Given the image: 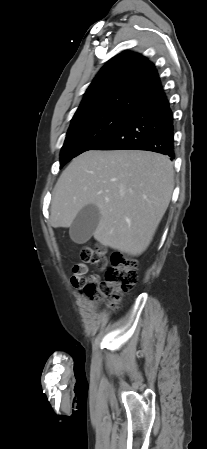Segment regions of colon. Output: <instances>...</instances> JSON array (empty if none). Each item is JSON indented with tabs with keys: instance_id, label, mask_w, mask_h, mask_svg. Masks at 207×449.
I'll use <instances>...</instances> for the list:
<instances>
[{
	"instance_id": "colon-1",
	"label": "colon",
	"mask_w": 207,
	"mask_h": 449,
	"mask_svg": "<svg viewBox=\"0 0 207 449\" xmlns=\"http://www.w3.org/2000/svg\"><path fill=\"white\" fill-rule=\"evenodd\" d=\"M79 258L83 263L96 266L98 273L104 272V280L87 282L83 286L84 293L90 298L107 303L116 309L123 293L131 291L138 280L136 260L120 254L112 255L110 263L106 251L101 246H82Z\"/></svg>"
}]
</instances>
